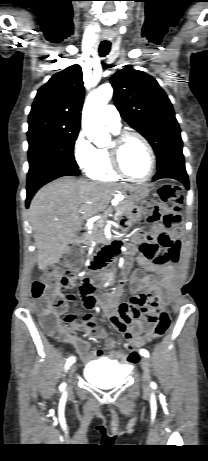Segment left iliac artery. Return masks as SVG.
<instances>
[{"label":"left iliac artery","instance_id":"left-iliac-artery-1","mask_svg":"<svg viewBox=\"0 0 208 461\" xmlns=\"http://www.w3.org/2000/svg\"><path fill=\"white\" fill-rule=\"evenodd\" d=\"M140 353H141V355L144 356V357H149V353H148V351L145 350V349H141V350H140Z\"/></svg>","mask_w":208,"mask_h":461}]
</instances>
